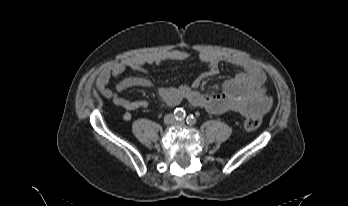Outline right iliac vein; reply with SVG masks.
Here are the masks:
<instances>
[{
    "instance_id": "obj_1",
    "label": "right iliac vein",
    "mask_w": 348,
    "mask_h": 206,
    "mask_svg": "<svg viewBox=\"0 0 348 206\" xmlns=\"http://www.w3.org/2000/svg\"><path fill=\"white\" fill-rule=\"evenodd\" d=\"M166 123H171L174 121V117L172 115H167L164 120Z\"/></svg>"
}]
</instances>
